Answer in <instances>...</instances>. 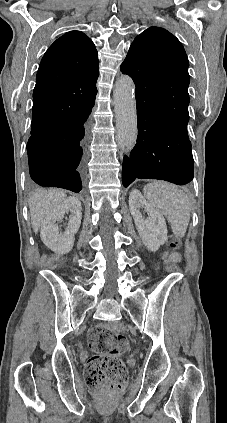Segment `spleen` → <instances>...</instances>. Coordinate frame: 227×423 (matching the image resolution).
Segmentation results:
<instances>
[{"mask_svg": "<svg viewBox=\"0 0 227 423\" xmlns=\"http://www.w3.org/2000/svg\"><path fill=\"white\" fill-rule=\"evenodd\" d=\"M149 206L167 217L174 235L184 237L189 219L191 204L188 196L168 182L153 180L143 188Z\"/></svg>", "mask_w": 227, "mask_h": 423, "instance_id": "spleen-1", "label": "spleen"}]
</instances>
